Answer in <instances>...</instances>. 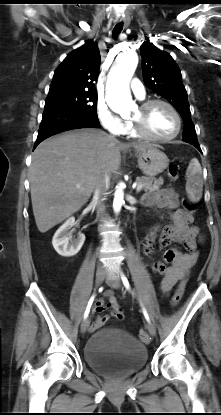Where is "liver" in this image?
Instances as JSON below:
<instances>
[{
  "label": "liver",
  "instance_id": "liver-1",
  "mask_svg": "<svg viewBox=\"0 0 221 415\" xmlns=\"http://www.w3.org/2000/svg\"><path fill=\"white\" fill-rule=\"evenodd\" d=\"M149 144L122 143L104 131L83 128L44 140L29 170L36 225L45 233L86 204L102 175L115 173L120 151H141ZM79 185V187H77Z\"/></svg>",
  "mask_w": 221,
  "mask_h": 415
}]
</instances>
